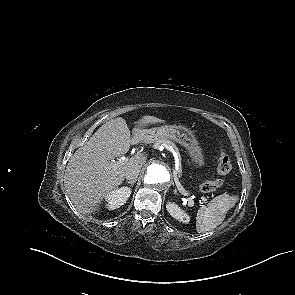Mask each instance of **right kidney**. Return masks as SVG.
<instances>
[{"label":"right kidney","mask_w":295,"mask_h":295,"mask_svg":"<svg viewBox=\"0 0 295 295\" xmlns=\"http://www.w3.org/2000/svg\"><path fill=\"white\" fill-rule=\"evenodd\" d=\"M131 190L128 187H121L119 189L113 190L108 196V208L109 210H114L124 205L128 198L130 197Z\"/></svg>","instance_id":"1"}]
</instances>
